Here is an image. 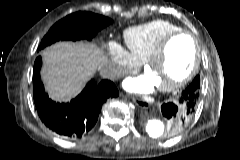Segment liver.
Returning <instances> with one entry per match:
<instances>
[{
    "instance_id": "obj_1",
    "label": "liver",
    "mask_w": 240,
    "mask_h": 160,
    "mask_svg": "<svg viewBox=\"0 0 240 160\" xmlns=\"http://www.w3.org/2000/svg\"><path fill=\"white\" fill-rule=\"evenodd\" d=\"M41 55L45 63L42 80L55 101L67 102L76 96L95 70L107 63L94 43L58 42Z\"/></svg>"
}]
</instances>
